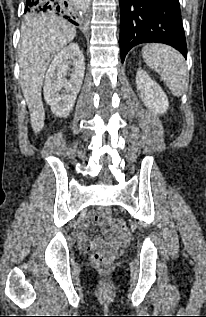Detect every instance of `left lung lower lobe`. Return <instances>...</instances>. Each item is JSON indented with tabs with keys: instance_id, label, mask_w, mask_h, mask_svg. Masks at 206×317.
<instances>
[{
	"instance_id": "0a47b994",
	"label": "left lung lower lobe",
	"mask_w": 206,
	"mask_h": 317,
	"mask_svg": "<svg viewBox=\"0 0 206 317\" xmlns=\"http://www.w3.org/2000/svg\"><path fill=\"white\" fill-rule=\"evenodd\" d=\"M121 61L137 44H168L187 58L179 0H120Z\"/></svg>"
}]
</instances>
